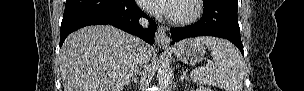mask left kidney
I'll return each mask as SVG.
<instances>
[{
  "mask_svg": "<svg viewBox=\"0 0 304 91\" xmlns=\"http://www.w3.org/2000/svg\"><path fill=\"white\" fill-rule=\"evenodd\" d=\"M192 91H194V90H192ZM196 91H211V89L201 86V87L197 88Z\"/></svg>",
  "mask_w": 304,
  "mask_h": 91,
  "instance_id": "5707ae66",
  "label": "left kidney"
}]
</instances>
